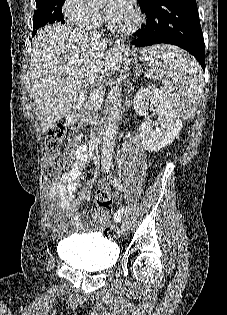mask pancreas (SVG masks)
Instances as JSON below:
<instances>
[{
  "instance_id": "1",
  "label": "pancreas",
  "mask_w": 227,
  "mask_h": 315,
  "mask_svg": "<svg viewBox=\"0 0 227 315\" xmlns=\"http://www.w3.org/2000/svg\"><path fill=\"white\" fill-rule=\"evenodd\" d=\"M94 90L95 89L89 91L86 102L76 115L80 124L90 123L93 120V115L97 114L100 110L103 102V96L101 98H95L92 94Z\"/></svg>"
}]
</instances>
